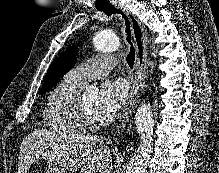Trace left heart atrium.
Wrapping results in <instances>:
<instances>
[{"label": "left heart atrium", "mask_w": 219, "mask_h": 173, "mask_svg": "<svg viewBox=\"0 0 219 173\" xmlns=\"http://www.w3.org/2000/svg\"><path fill=\"white\" fill-rule=\"evenodd\" d=\"M129 95L127 83L122 79L103 83L96 102V115L101 119L116 114L126 103Z\"/></svg>", "instance_id": "obj_1"}]
</instances>
